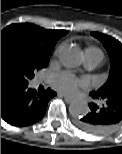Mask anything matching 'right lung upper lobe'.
Segmentation results:
<instances>
[{
	"label": "right lung upper lobe",
	"mask_w": 122,
	"mask_h": 154,
	"mask_svg": "<svg viewBox=\"0 0 122 154\" xmlns=\"http://www.w3.org/2000/svg\"><path fill=\"white\" fill-rule=\"evenodd\" d=\"M8 27L19 28L30 42L41 50L48 51L50 53L58 39L67 33L65 30L43 29L30 23L13 24Z\"/></svg>",
	"instance_id": "1"
}]
</instances>
